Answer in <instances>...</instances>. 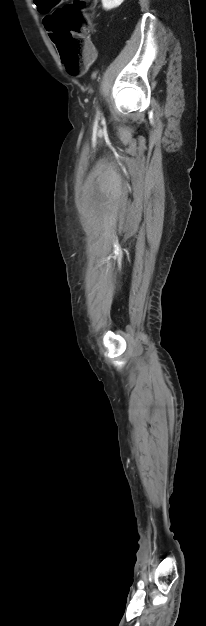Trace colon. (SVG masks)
<instances>
[{"label":"colon","instance_id":"1","mask_svg":"<svg viewBox=\"0 0 206 626\" xmlns=\"http://www.w3.org/2000/svg\"><path fill=\"white\" fill-rule=\"evenodd\" d=\"M63 2L64 0H43L40 9H54L47 18L50 36L67 71L78 75L90 57L86 32L91 24V9L96 0H73L70 4Z\"/></svg>","mask_w":206,"mask_h":626}]
</instances>
